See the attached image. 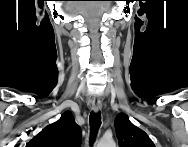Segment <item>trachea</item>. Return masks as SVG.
I'll return each instance as SVG.
<instances>
[{
  "instance_id": "3493384b",
  "label": "trachea",
  "mask_w": 188,
  "mask_h": 147,
  "mask_svg": "<svg viewBox=\"0 0 188 147\" xmlns=\"http://www.w3.org/2000/svg\"><path fill=\"white\" fill-rule=\"evenodd\" d=\"M90 127H91V141H94V137L97 134V131L101 125V114L99 112L94 113L91 112L90 113Z\"/></svg>"
}]
</instances>
